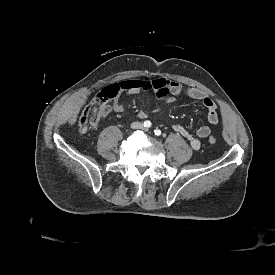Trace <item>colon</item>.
Segmentation results:
<instances>
[{"mask_svg":"<svg viewBox=\"0 0 275 275\" xmlns=\"http://www.w3.org/2000/svg\"><path fill=\"white\" fill-rule=\"evenodd\" d=\"M107 113V107L104 102L91 103L82 113L79 119V126L81 129L86 130L90 125L99 119L103 118ZM209 144L216 143V137L210 136L208 138Z\"/></svg>","mask_w":275,"mask_h":275,"instance_id":"1","label":"colon"}]
</instances>
